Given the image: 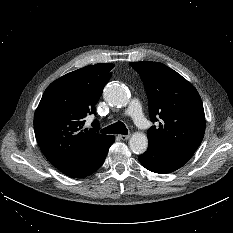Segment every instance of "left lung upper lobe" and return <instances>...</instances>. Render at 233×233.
Instances as JSON below:
<instances>
[{
	"label": "left lung upper lobe",
	"instance_id": "left-lung-upper-lobe-1",
	"mask_svg": "<svg viewBox=\"0 0 233 233\" xmlns=\"http://www.w3.org/2000/svg\"><path fill=\"white\" fill-rule=\"evenodd\" d=\"M144 82L149 115L158 127L148 130V140L159 146L195 151L205 132V115L196 88L180 74L158 62H130Z\"/></svg>",
	"mask_w": 233,
	"mask_h": 233
}]
</instances>
